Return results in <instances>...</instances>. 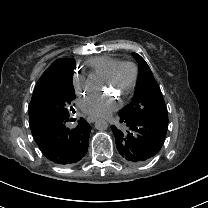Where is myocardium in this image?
<instances>
[{"instance_id": "myocardium-1", "label": "myocardium", "mask_w": 208, "mask_h": 208, "mask_svg": "<svg viewBox=\"0 0 208 208\" xmlns=\"http://www.w3.org/2000/svg\"><path fill=\"white\" fill-rule=\"evenodd\" d=\"M130 68L132 75L129 83L125 87L124 91V97H129L135 87L137 86L138 80H139V68L136 63L132 61H121L117 64V66L112 70V72L103 78L104 84H114L117 76L122 68ZM121 103H123V100H121Z\"/></svg>"}]
</instances>
